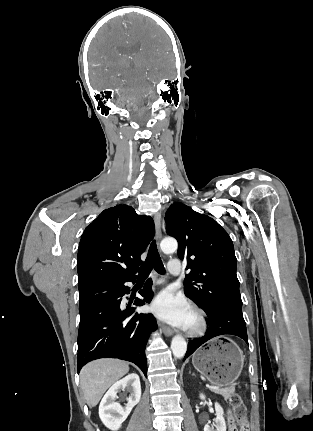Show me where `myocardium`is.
Returning <instances> with one entry per match:
<instances>
[{
    "label": "myocardium",
    "instance_id": "myocardium-1",
    "mask_svg": "<svg viewBox=\"0 0 313 431\" xmlns=\"http://www.w3.org/2000/svg\"><path fill=\"white\" fill-rule=\"evenodd\" d=\"M191 314L193 316V323L188 326V334L194 337L205 334L208 329V319L205 312L198 307H192Z\"/></svg>",
    "mask_w": 313,
    "mask_h": 431
}]
</instances>
